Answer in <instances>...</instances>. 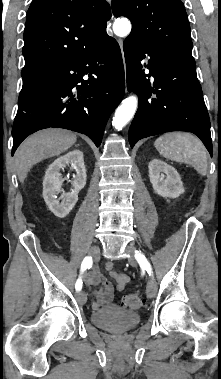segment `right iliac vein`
Masks as SVG:
<instances>
[{
	"label": "right iliac vein",
	"mask_w": 221,
	"mask_h": 379,
	"mask_svg": "<svg viewBox=\"0 0 221 379\" xmlns=\"http://www.w3.org/2000/svg\"><path fill=\"white\" fill-rule=\"evenodd\" d=\"M89 254L93 257V258H97L100 254V249L98 246H93L90 250H89ZM77 300L80 304H85L86 301H87V297H86V294L85 292L81 291L77 294Z\"/></svg>",
	"instance_id": "obj_1"
}]
</instances>
